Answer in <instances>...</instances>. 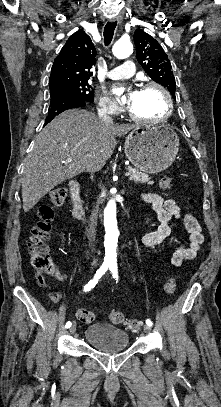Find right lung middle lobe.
<instances>
[{
  "label": "right lung middle lobe",
  "instance_id": "right-lung-middle-lobe-1",
  "mask_svg": "<svg viewBox=\"0 0 221 407\" xmlns=\"http://www.w3.org/2000/svg\"><path fill=\"white\" fill-rule=\"evenodd\" d=\"M50 96L51 102L69 98L82 99L87 102L94 101V92L87 81L50 90Z\"/></svg>",
  "mask_w": 221,
  "mask_h": 407
}]
</instances>
